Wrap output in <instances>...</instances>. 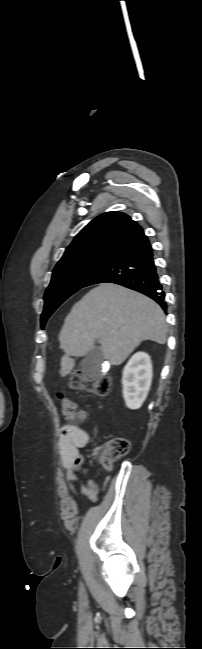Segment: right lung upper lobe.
Returning a JSON list of instances; mask_svg holds the SVG:
<instances>
[{
	"instance_id": "right-lung-upper-lobe-1",
	"label": "right lung upper lobe",
	"mask_w": 202,
	"mask_h": 649,
	"mask_svg": "<svg viewBox=\"0 0 202 649\" xmlns=\"http://www.w3.org/2000/svg\"><path fill=\"white\" fill-rule=\"evenodd\" d=\"M145 238L143 229L128 215L117 211L106 212L77 234L61 259L93 251L117 254Z\"/></svg>"
}]
</instances>
